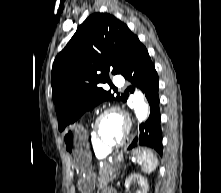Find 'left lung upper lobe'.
Segmentation results:
<instances>
[{
	"label": "left lung upper lobe",
	"mask_w": 221,
	"mask_h": 193,
	"mask_svg": "<svg viewBox=\"0 0 221 193\" xmlns=\"http://www.w3.org/2000/svg\"><path fill=\"white\" fill-rule=\"evenodd\" d=\"M138 37L113 15L94 13L77 29L53 63L51 84L59 130L75 122L85 111L114 97L102 85L108 73L121 74Z\"/></svg>",
	"instance_id": "obj_1"
}]
</instances>
